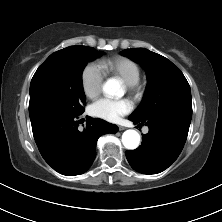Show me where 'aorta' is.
I'll return each mask as SVG.
<instances>
[{"instance_id":"762f6f07","label":"aorta","mask_w":222,"mask_h":222,"mask_svg":"<svg viewBox=\"0 0 222 222\" xmlns=\"http://www.w3.org/2000/svg\"><path fill=\"white\" fill-rule=\"evenodd\" d=\"M103 91L108 96L114 97L121 94L122 88L117 80L110 79L103 85ZM122 143L129 150L136 149L140 143L139 133L132 129L126 130L122 135Z\"/></svg>"}]
</instances>
